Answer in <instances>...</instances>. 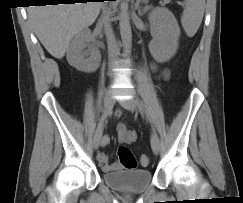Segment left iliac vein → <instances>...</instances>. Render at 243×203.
Listing matches in <instances>:
<instances>
[{"instance_id": "obj_1", "label": "left iliac vein", "mask_w": 243, "mask_h": 203, "mask_svg": "<svg viewBox=\"0 0 243 203\" xmlns=\"http://www.w3.org/2000/svg\"><path fill=\"white\" fill-rule=\"evenodd\" d=\"M122 104L127 110L131 112L136 111L138 107L134 99L123 101ZM150 142L153 152L157 154L160 149V141L158 135L155 132H152Z\"/></svg>"}]
</instances>
